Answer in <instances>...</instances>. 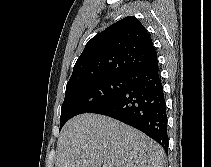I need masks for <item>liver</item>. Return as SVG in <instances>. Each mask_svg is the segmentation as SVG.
Returning a JSON list of instances; mask_svg holds the SVG:
<instances>
[{"label":"liver","instance_id":"1","mask_svg":"<svg viewBox=\"0 0 211 167\" xmlns=\"http://www.w3.org/2000/svg\"><path fill=\"white\" fill-rule=\"evenodd\" d=\"M165 167L163 148L113 118L86 113L70 119L57 142L55 167Z\"/></svg>","mask_w":211,"mask_h":167}]
</instances>
